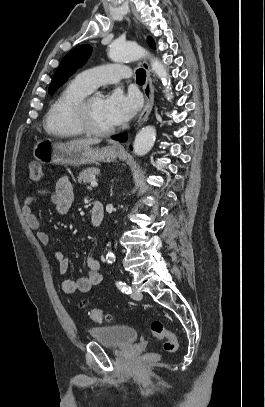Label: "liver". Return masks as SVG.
<instances>
[{
  "label": "liver",
  "instance_id": "1",
  "mask_svg": "<svg viewBox=\"0 0 265 407\" xmlns=\"http://www.w3.org/2000/svg\"><path fill=\"white\" fill-rule=\"evenodd\" d=\"M98 143H100L99 139H80V140L71 141L69 144L90 146V145H96Z\"/></svg>",
  "mask_w": 265,
  "mask_h": 407
}]
</instances>
